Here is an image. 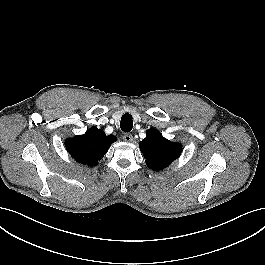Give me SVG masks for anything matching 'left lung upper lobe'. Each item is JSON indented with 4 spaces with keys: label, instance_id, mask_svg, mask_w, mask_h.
Wrapping results in <instances>:
<instances>
[{
    "label": "left lung upper lobe",
    "instance_id": "left-lung-upper-lobe-1",
    "mask_svg": "<svg viewBox=\"0 0 265 265\" xmlns=\"http://www.w3.org/2000/svg\"><path fill=\"white\" fill-rule=\"evenodd\" d=\"M139 146L147 166L154 171L169 166L182 152V146L179 143L167 140L154 128L146 131V138L139 143Z\"/></svg>",
    "mask_w": 265,
    "mask_h": 265
}]
</instances>
